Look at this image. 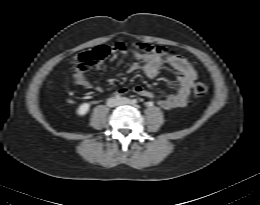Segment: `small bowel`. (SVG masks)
Segmentation results:
<instances>
[{
  "mask_svg": "<svg viewBox=\"0 0 260 205\" xmlns=\"http://www.w3.org/2000/svg\"><path fill=\"white\" fill-rule=\"evenodd\" d=\"M130 51L134 54L136 62L131 64L128 68L130 72L142 71L147 77H156L164 64L172 66L177 72V79L179 81L178 89L175 93L169 94L158 101V105L165 110L173 108H181L186 106L190 96L191 88L197 78V71L192 64L180 55L159 57L154 54L141 53L137 49L131 47ZM119 49L112 48V59L118 58ZM103 65L99 64L97 69H102ZM73 81L84 88L92 89L93 86L83 72H75L72 75ZM97 92H101V87H96ZM137 94L142 97H153L154 93L143 86L136 85L132 87H122L116 91V95L124 96L127 94Z\"/></svg>",
  "mask_w": 260,
  "mask_h": 205,
  "instance_id": "1",
  "label": "small bowel"
}]
</instances>
